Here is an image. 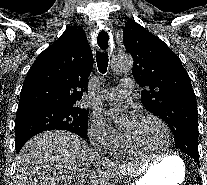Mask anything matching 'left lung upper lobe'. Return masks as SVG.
Returning a JSON list of instances; mask_svg holds the SVG:
<instances>
[{
	"mask_svg": "<svg viewBox=\"0 0 207 185\" xmlns=\"http://www.w3.org/2000/svg\"><path fill=\"white\" fill-rule=\"evenodd\" d=\"M123 43L134 59L133 76L144 87L142 104L169 125L177 149L198 153L196 96L180 58L134 21L125 24Z\"/></svg>",
	"mask_w": 207,
	"mask_h": 185,
	"instance_id": "5c2ea615",
	"label": "left lung upper lobe"
}]
</instances>
